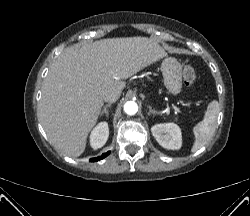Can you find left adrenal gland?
<instances>
[{"label":"left adrenal gland","instance_id":"obj_1","mask_svg":"<svg viewBox=\"0 0 250 216\" xmlns=\"http://www.w3.org/2000/svg\"><path fill=\"white\" fill-rule=\"evenodd\" d=\"M148 108H149V112H148V115L150 114H153V115H162L161 112H158V111H155L150 105H148Z\"/></svg>","mask_w":250,"mask_h":216}]
</instances>
